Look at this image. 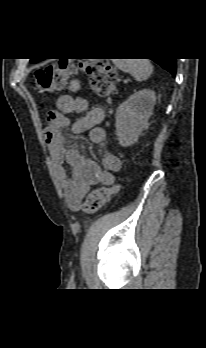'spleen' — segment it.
I'll return each mask as SVG.
<instances>
[{
    "label": "spleen",
    "instance_id": "1",
    "mask_svg": "<svg viewBox=\"0 0 206 348\" xmlns=\"http://www.w3.org/2000/svg\"><path fill=\"white\" fill-rule=\"evenodd\" d=\"M115 66L130 73L137 81H143L150 77L153 65L148 59H113Z\"/></svg>",
    "mask_w": 206,
    "mask_h": 348
}]
</instances>
